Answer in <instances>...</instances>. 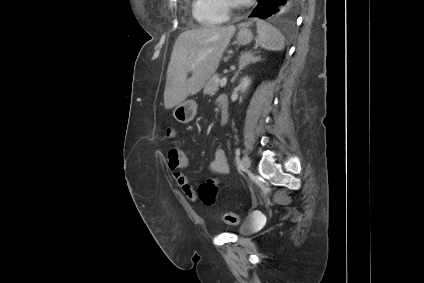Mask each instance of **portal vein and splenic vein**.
Instances as JSON below:
<instances>
[{
	"label": "portal vein and splenic vein",
	"instance_id": "portal-vein-and-splenic-vein-1",
	"mask_svg": "<svg viewBox=\"0 0 424 283\" xmlns=\"http://www.w3.org/2000/svg\"><path fill=\"white\" fill-rule=\"evenodd\" d=\"M220 86H225L227 83V77H223L221 80H218Z\"/></svg>",
	"mask_w": 424,
	"mask_h": 283
}]
</instances>
